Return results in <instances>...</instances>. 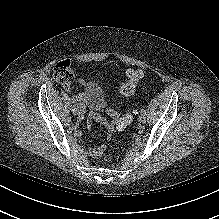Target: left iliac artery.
Returning a JSON list of instances; mask_svg holds the SVG:
<instances>
[{
	"instance_id": "44dca946",
	"label": "left iliac artery",
	"mask_w": 219,
	"mask_h": 219,
	"mask_svg": "<svg viewBox=\"0 0 219 219\" xmlns=\"http://www.w3.org/2000/svg\"><path fill=\"white\" fill-rule=\"evenodd\" d=\"M141 112H142V113H146V109L143 108V109L141 110Z\"/></svg>"
}]
</instances>
